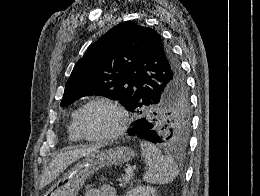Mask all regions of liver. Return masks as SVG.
<instances>
[{"label": "liver", "instance_id": "liver-1", "mask_svg": "<svg viewBox=\"0 0 260 196\" xmlns=\"http://www.w3.org/2000/svg\"><path fill=\"white\" fill-rule=\"evenodd\" d=\"M99 148L102 146H77V150H69V152H62V154H58L52 162H50L48 168H46L45 172L42 174V180L40 184V188H45L48 184H51L53 180H56L70 164L76 162V160H80L83 156H88V154H94V152H98Z\"/></svg>", "mask_w": 260, "mask_h": 196}]
</instances>
